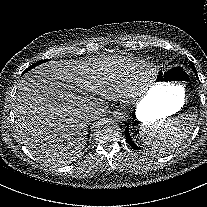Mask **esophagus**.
Instances as JSON below:
<instances>
[{
  "label": "esophagus",
  "mask_w": 207,
  "mask_h": 207,
  "mask_svg": "<svg viewBox=\"0 0 207 207\" xmlns=\"http://www.w3.org/2000/svg\"><path fill=\"white\" fill-rule=\"evenodd\" d=\"M115 107H116V108H121V107H123L122 102H121V101H116V102H115Z\"/></svg>",
  "instance_id": "1"
}]
</instances>
